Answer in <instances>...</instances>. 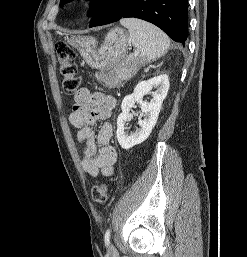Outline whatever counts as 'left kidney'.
<instances>
[{"instance_id":"1","label":"left kidney","mask_w":247,"mask_h":257,"mask_svg":"<svg viewBox=\"0 0 247 257\" xmlns=\"http://www.w3.org/2000/svg\"><path fill=\"white\" fill-rule=\"evenodd\" d=\"M155 88V92L151 90ZM169 90V79L167 75H159L147 81L139 82L132 94L127 95L121 104L122 113L117 119V139L123 149H130L133 146L142 143L150 135L154 128L163 100L166 98ZM147 94L152 95L150 102L143 101V97ZM141 105L142 113L145 118L138 121V128L134 133L128 135L125 132V125L130 118V110L135 103Z\"/></svg>"}]
</instances>
